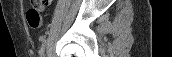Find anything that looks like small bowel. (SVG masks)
<instances>
[{"instance_id":"1","label":"small bowel","mask_w":172,"mask_h":57,"mask_svg":"<svg viewBox=\"0 0 172 57\" xmlns=\"http://www.w3.org/2000/svg\"><path fill=\"white\" fill-rule=\"evenodd\" d=\"M51 3H52L51 0H44V1L42 2V7L49 6Z\"/></svg>"}]
</instances>
